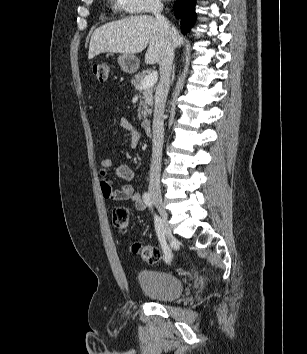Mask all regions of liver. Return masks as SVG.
<instances>
[{
  "mask_svg": "<svg viewBox=\"0 0 307 354\" xmlns=\"http://www.w3.org/2000/svg\"><path fill=\"white\" fill-rule=\"evenodd\" d=\"M171 31L174 47L182 45L183 36L174 27H171ZM147 46L145 63H159L163 43L155 18L149 15L132 16L97 28L90 39L88 59L107 52L134 55Z\"/></svg>",
  "mask_w": 307,
  "mask_h": 354,
  "instance_id": "1",
  "label": "liver"
}]
</instances>
